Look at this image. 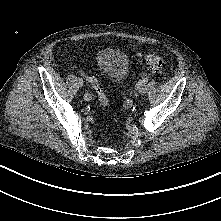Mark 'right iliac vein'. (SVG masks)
<instances>
[{"label":"right iliac vein","instance_id":"obj_1","mask_svg":"<svg viewBox=\"0 0 221 221\" xmlns=\"http://www.w3.org/2000/svg\"><path fill=\"white\" fill-rule=\"evenodd\" d=\"M78 84H79L81 87L83 86L84 82H83V80H82L81 78H78Z\"/></svg>","mask_w":221,"mask_h":221}]
</instances>
